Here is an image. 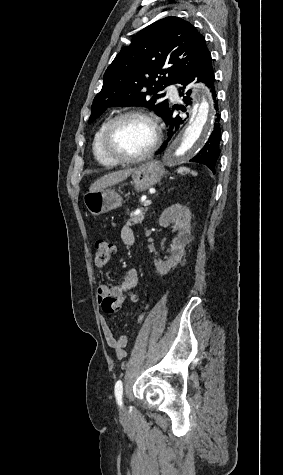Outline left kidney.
<instances>
[{
	"mask_svg": "<svg viewBox=\"0 0 283 475\" xmlns=\"http://www.w3.org/2000/svg\"><path fill=\"white\" fill-rule=\"evenodd\" d=\"M191 212L187 206H181V204H173L171 208H167L162 212L159 218L160 226L163 228H168L170 224H174V230H178L176 238L172 239V249L171 255L165 261L161 259H154L156 271L165 275L168 273L171 267H176L180 263L184 255V247L192 241L193 236H191Z\"/></svg>",
	"mask_w": 283,
	"mask_h": 475,
	"instance_id": "5707ae66",
	"label": "left kidney"
}]
</instances>
